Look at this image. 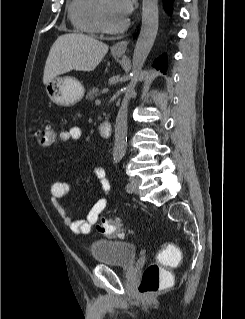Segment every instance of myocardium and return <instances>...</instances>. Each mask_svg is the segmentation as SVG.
<instances>
[{"instance_id":"f54148a6","label":"myocardium","mask_w":245,"mask_h":319,"mask_svg":"<svg viewBox=\"0 0 245 319\" xmlns=\"http://www.w3.org/2000/svg\"><path fill=\"white\" fill-rule=\"evenodd\" d=\"M98 20L101 31L109 34L120 33L128 27V21L124 20L119 24H112L108 21L103 9L102 0L98 3Z\"/></svg>"}]
</instances>
